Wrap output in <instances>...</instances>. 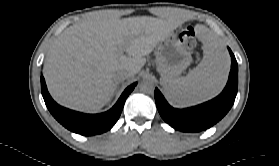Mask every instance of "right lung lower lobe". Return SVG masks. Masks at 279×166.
Listing matches in <instances>:
<instances>
[{"label": "right lung lower lobe", "mask_w": 279, "mask_h": 166, "mask_svg": "<svg viewBox=\"0 0 279 166\" xmlns=\"http://www.w3.org/2000/svg\"><path fill=\"white\" fill-rule=\"evenodd\" d=\"M137 83L127 87L117 103L107 112L101 114H83L58 105L48 93L45 80L41 76V90L45 104L54 118L64 127L81 135H95L111 129L119 119L126 98Z\"/></svg>", "instance_id": "right-lung-lower-lobe-1"}]
</instances>
